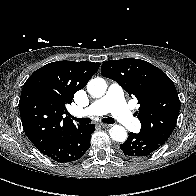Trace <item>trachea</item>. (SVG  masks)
I'll return each mask as SVG.
<instances>
[{
  "instance_id": "3493384b",
  "label": "trachea",
  "mask_w": 196,
  "mask_h": 196,
  "mask_svg": "<svg viewBox=\"0 0 196 196\" xmlns=\"http://www.w3.org/2000/svg\"><path fill=\"white\" fill-rule=\"evenodd\" d=\"M70 117L80 124H89L91 122L90 118H76L71 115H70ZM102 122L107 123V124H113V123H115V120L111 117H107V118H103Z\"/></svg>"
}]
</instances>
